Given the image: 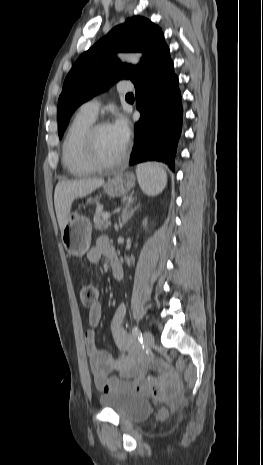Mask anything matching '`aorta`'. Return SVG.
Segmentation results:
<instances>
[{
	"mask_svg": "<svg viewBox=\"0 0 263 465\" xmlns=\"http://www.w3.org/2000/svg\"><path fill=\"white\" fill-rule=\"evenodd\" d=\"M120 60L135 65L139 63L140 56L138 54H124L120 55Z\"/></svg>",
	"mask_w": 263,
	"mask_h": 465,
	"instance_id": "1",
	"label": "aorta"
}]
</instances>
